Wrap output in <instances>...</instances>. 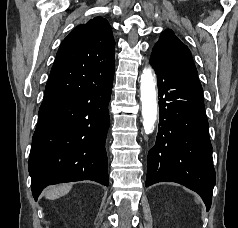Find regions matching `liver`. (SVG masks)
<instances>
[{
  "label": "liver",
  "mask_w": 238,
  "mask_h": 228,
  "mask_svg": "<svg viewBox=\"0 0 238 228\" xmlns=\"http://www.w3.org/2000/svg\"><path fill=\"white\" fill-rule=\"evenodd\" d=\"M72 188L70 184H64L56 187H51L46 190L45 197L49 200L58 199L66 195Z\"/></svg>",
  "instance_id": "6515ba94"
}]
</instances>
